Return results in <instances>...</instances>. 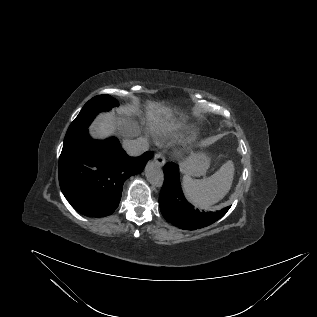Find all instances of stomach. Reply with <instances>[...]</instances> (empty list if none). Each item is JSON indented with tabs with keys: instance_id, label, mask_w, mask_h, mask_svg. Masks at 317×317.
<instances>
[{
	"instance_id": "1",
	"label": "stomach",
	"mask_w": 317,
	"mask_h": 317,
	"mask_svg": "<svg viewBox=\"0 0 317 317\" xmlns=\"http://www.w3.org/2000/svg\"><path fill=\"white\" fill-rule=\"evenodd\" d=\"M180 166L182 172L186 175L201 176L207 172L210 166V158L203 153H191L180 163Z\"/></svg>"
}]
</instances>
